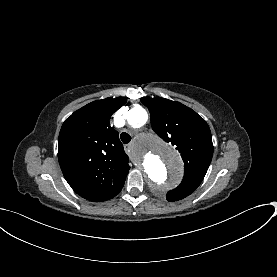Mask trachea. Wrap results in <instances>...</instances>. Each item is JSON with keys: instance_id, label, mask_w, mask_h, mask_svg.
I'll use <instances>...</instances> for the list:
<instances>
[{"instance_id": "3493384b", "label": "trachea", "mask_w": 277, "mask_h": 277, "mask_svg": "<svg viewBox=\"0 0 277 277\" xmlns=\"http://www.w3.org/2000/svg\"><path fill=\"white\" fill-rule=\"evenodd\" d=\"M120 139L124 144H127L131 141V136L125 132L121 133Z\"/></svg>"}]
</instances>
